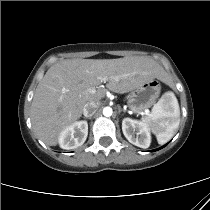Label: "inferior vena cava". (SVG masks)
I'll return each instance as SVG.
<instances>
[{"mask_svg": "<svg viewBox=\"0 0 210 210\" xmlns=\"http://www.w3.org/2000/svg\"><path fill=\"white\" fill-rule=\"evenodd\" d=\"M98 109V102H88L83 108V115L86 117L92 116Z\"/></svg>", "mask_w": 210, "mask_h": 210, "instance_id": "1", "label": "inferior vena cava"}]
</instances>
